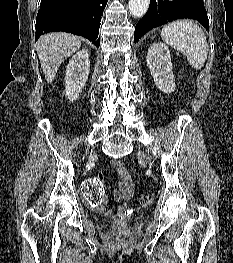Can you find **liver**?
<instances>
[{"instance_id":"liver-1","label":"liver","mask_w":233,"mask_h":263,"mask_svg":"<svg viewBox=\"0 0 233 263\" xmlns=\"http://www.w3.org/2000/svg\"><path fill=\"white\" fill-rule=\"evenodd\" d=\"M80 47V39L69 33H49L39 38L36 51L48 83L54 80L61 63Z\"/></svg>"}]
</instances>
